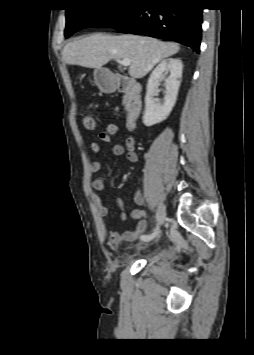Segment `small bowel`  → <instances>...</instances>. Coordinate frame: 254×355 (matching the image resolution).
Wrapping results in <instances>:
<instances>
[{
	"label": "small bowel",
	"mask_w": 254,
	"mask_h": 355,
	"mask_svg": "<svg viewBox=\"0 0 254 355\" xmlns=\"http://www.w3.org/2000/svg\"><path fill=\"white\" fill-rule=\"evenodd\" d=\"M119 127L116 124H109L105 131L99 134V139L107 144L111 143L112 136L118 133ZM90 148L94 153H99L101 151V146L98 141H92L90 144ZM112 155L113 156H122L126 155L127 159L131 162H136L138 160V156L135 151V141L131 135H127L124 144H116L112 147ZM102 168V162L100 160H96L91 164L90 170L92 173L100 172ZM93 189V200L95 206L101 217L108 216L109 210L107 206L104 204L100 192L105 191L104 180L101 177L94 179L92 183ZM112 199L115 205L120 210V214L118 218L114 221L113 225L117 226L120 222L124 221L127 218V214L124 208L123 200L118 196H112ZM134 203L138 206L143 205V197L139 191L134 194ZM130 217L137 220L136 226L134 230H126L121 233L116 231H109L108 238L109 242L112 245H120L126 242H133L137 239L138 235L144 233L147 229V214L143 209H134L130 212Z\"/></svg>",
	"instance_id": "c3829d8e"
}]
</instances>
